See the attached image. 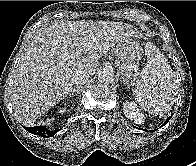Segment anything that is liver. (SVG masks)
I'll return each instance as SVG.
<instances>
[{"mask_svg": "<svg viewBox=\"0 0 196 166\" xmlns=\"http://www.w3.org/2000/svg\"><path fill=\"white\" fill-rule=\"evenodd\" d=\"M131 25L109 21H56L39 30L14 76L12 105L30 125L73 89L76 72L93 75L98 60L126 38L140 37Z\"/></svg>", "mask_w": 196, "mask_h": 166, "instance_id": "6515ba94", "label": "liver"}]
</instances>
